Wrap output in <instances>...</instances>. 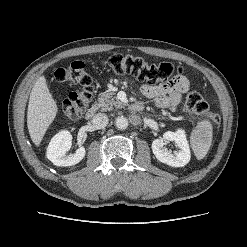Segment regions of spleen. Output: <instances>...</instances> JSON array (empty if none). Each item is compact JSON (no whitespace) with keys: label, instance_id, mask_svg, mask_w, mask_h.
Listing matches in <instances>:
<instances>
[{"label":"spleen","instance_id":"spleen-1","mask_svg":"<svg viewBox=\"0 0 247 247\" xmlns=\"http://www.w3.org/2000/svg\"><path fill=\"white\" fill-rule=\"evenodd\" d=\"M199 136L193 143V151L198 160L203 159L209 151L212 141V125L208 120H203L198 125Z\"/></svg>","mask_w":247,"mask_h":247}]
</instances>
